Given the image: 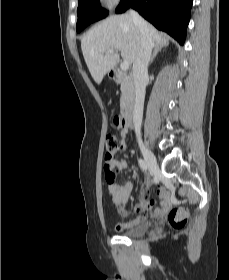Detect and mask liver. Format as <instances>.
Here are the masks:
<instances>
[{"label": "liver", "instance_id": "6515ba94", "mask_svg": "<svg viewBox=\"0 0 229 280\" xmlns=\"http://www.w3.org/2000/svg\"><path fill=\"white\" fill-rule=\"evenodd\" d=\"M153 38V45H168L150 24H147ZM81 49L89 72L97 84L120 60L134 63L140 50V32L130 14L112 15L92 27L81 39ZM114 53H107L108 50Z\"/></svg>", "mask_w": 229, "mask_h": 280}]
</instances>
